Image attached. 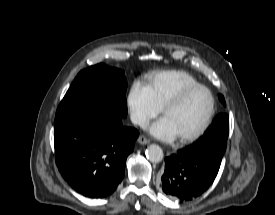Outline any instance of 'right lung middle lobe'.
Segmentation results:
<instances>
[{
    "instance_id": "obj_1",
    "label": "right lung middle lobe",
    "mask_w": 275,
    "mask_h": 215,
    "mask_svg": "<svg viewBox=\"0 0 275 215\" xmlns=\"http://www.w3.org/2000/svg\"><path fill=\"white\" fill-rule=\"evenodd\" d=\"M127 83L122 70L103 63L80 71L59 104L55 120L109 107L127 116Z\"/></svg>"
}]
</instances>
